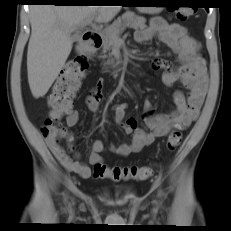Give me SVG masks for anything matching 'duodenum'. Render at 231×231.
Wrapping results in <instances>:
<instances>
[{
	"instance_id": "obj_1",
	"label": "duodenum",
	"mask_w": 231,
	"mask_h": 231,
	"mask_svg": "<svg viewBox=\"0 0 231 231\" xmlns=\"http://www.w3.org/2000/svg\"><path fill=\"white\" fill-rule=\"evenodd\" d=\"M102 46V37L98 31L89 30L82 34L81 51L91 53Z\"/></svg>"
}]
</instances>
